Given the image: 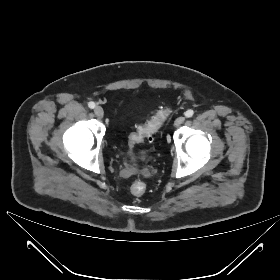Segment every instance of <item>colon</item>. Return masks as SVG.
I'll return each instance as SVG.
<instances>
[{
	"label": "colon",
	"mask_w": 280,
	"mask_h": 280,
	"mask_svg": "<svg viewBox=\"0 0 280 280\" xmlns=\"http://www.w3.org/2000/svg\"><path fill=\"white\" fill-rule=\"evenodd\" d=\"M170 107H161L156 110L152 118L144 125L137 126L128 139L129 146L132 148L136 143L144 139L152 140L153 135L157 132L163 121L169 117ZM130 191L134 196H141L146 191V183L142 180H135L131 183Z\"/></svg>",
	"instance_id": "5ec220e1"
}]
</instances>
